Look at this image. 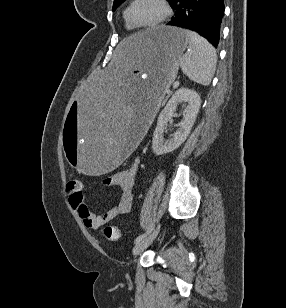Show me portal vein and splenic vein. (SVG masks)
Wrapping results in <instances>:
<instances>
[{
  "label": "portal vein and splenic vein",
  "mask_w": 286,
  "mask_h": 308,
  "mask_svg": "<svg viewBox=\"0 0 286 308\" xmlns=\"http://www.w3.org/2000/svg\"><path fill=\"white\" fill-rule=\"evenodd\" d=\"M179 86V82L178 81H175L174 84H173V88H176Z\"/></svg>",
  "instance_id": "obj_1"
}]
</instances>
